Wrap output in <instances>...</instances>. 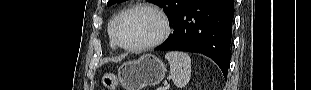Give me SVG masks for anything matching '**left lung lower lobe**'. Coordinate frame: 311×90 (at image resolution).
Masks as SVG:
<instances>
[{
	"mask_svg": "<svg viewBox=\"0 0 311 90\" xmlns=\"http://www.w3.org/2000/svg\"><path fill=\"white\" fill-rule=\"evenodd\" d=\"M234 0H193L174 23L171 38L155 50L201 53L221 68L227 77Z\"/></svg>",
	"mask_w": 311,
	"mask_h": 90,
	"instance_id": "left-lung-lower-lobe-1",
	"label": "left lung lower lobe"
}]
</instances>
